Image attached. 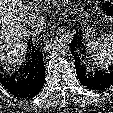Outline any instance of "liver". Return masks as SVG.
Instances as JSON below:
<instances>
[{"label": "liver", "mask_w": 113, "mask_h": 113, "mask_svg": "<svg viewBox=\"0 0 113 113\" xmlns=\"http://www.w3.org/2000/svg\"><path fill=\"white\" fill-rule=\"evenodd\" d=\"M27 7L19 0H0V63L20 65L29 33Z\"/></svg>", "instance_id": "obj_1"}]
</instances>
